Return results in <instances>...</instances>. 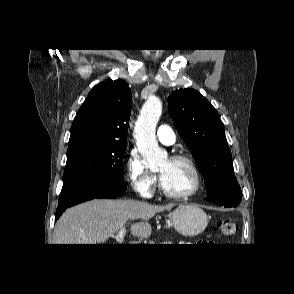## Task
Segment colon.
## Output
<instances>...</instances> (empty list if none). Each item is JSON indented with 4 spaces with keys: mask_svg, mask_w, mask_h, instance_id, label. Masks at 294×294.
<instances>
[{
    "mask_svg": "<svg viewBox=\"0 0 294 294\" xmlns=\"http://www.w3.org/2000/svg\"><path fill=\"white\" fill-rule=\"evenodd\" d=\"M237 222L232 219H220L216 222V227L225 236H232L236 233Z\"/></svg>",
    "mask_w": 294,
    "mask_h": 294,
    "instance_id": "obj_1",
    "label": "colon"
}]
</instances>
